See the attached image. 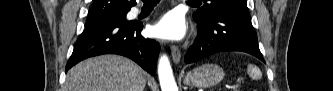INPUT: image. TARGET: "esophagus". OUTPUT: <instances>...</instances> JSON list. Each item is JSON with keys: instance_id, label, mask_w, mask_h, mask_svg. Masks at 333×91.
Masks as SVG:
<instances>
[{"instance_id": "esophagus-1", "label": "esophagus", "mask_w": 333, "mask_h": 91, "mask_svg": "<svg viewBox=\"0 0 333 91\" xmlns=\"http://www.w3.org/2000/svg\"><path fill=\"white\" fill-rule=\"evenodd\" d=\"M171 54H172V59L174 61V63H179L180 58H181V52L179 50V48L175 45H173L171 47Z\"/></svg>"}]
</instances>
